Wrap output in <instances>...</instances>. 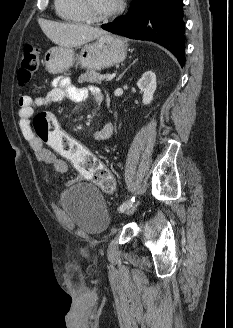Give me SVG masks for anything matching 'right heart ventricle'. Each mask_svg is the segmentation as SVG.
<instances>
[{"label":"right heart ventricle","instance_id":"e07e8e85","mask_svg":"<svg viewBox=\"0 0 233 328\" xmlns=\"http://www.w3.org/2000/svg\"><path fill=\"white\" fill-rule=\"evenodd\" d=\"M57 15L69 22H85L86 17L79 0H54Z\"/></svg>","mask_w":233,"mask_h":328}]
</instances>
